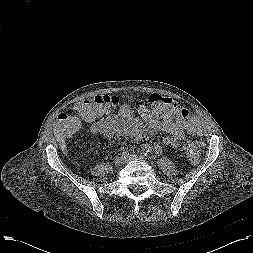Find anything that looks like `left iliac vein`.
<instances>
[{"label":"left iliac vein","mask_w":253,"mask_h":253,"mask_svg":"<svg viewBox=\"0 0 253 253\" xmlns=\"http://www.w3.org/2000/svg\"><path fill=\"white\" fill-rule=\"evenodd\" d=\"M131 160H143L142 157L138 156V155H130L125 161H131Z\"/></svg>","instance_id":"obj_1"}]
</instances>
